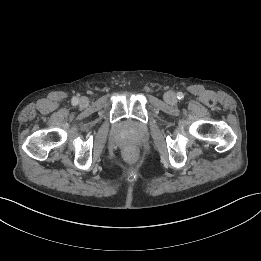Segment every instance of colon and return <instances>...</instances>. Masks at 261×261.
<instances>
[{"label":"colon","mask_w":261,"mask_h":261,"mask_svg":"<svg viewBox=\"0 0 261 261\" xmlns=\"http://www.w3.org/2000/svg\"><path fill=\"white\" fill-rule=\"evenodd\" d=\"M134 154H135V151H134L133 149H128V150L126 151V155H127L128 157H132V156H134Z\"/></svg>","instance_id":"1"}]
</instances>
